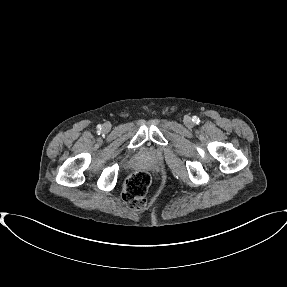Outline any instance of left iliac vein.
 I'll use <instances>...</instances> for the list:
<instances>
[{"instance_id": "left-iliac-vein-1", "label": "left iliac vein", "mask_w": 287, "mask_h": 287, "mask_svg": "<svg viewBox=\"0 0 287 287\" xmlns=\"http://www.w3.org/2000/svg\"><path fill=\"white\" fill-rule=\"evenodd\" d=\"M185 122H186V124H188V125H191V124H192L191 119H190L189 117H187V118L185 119Z\"/></svg>"}]
</instances>
